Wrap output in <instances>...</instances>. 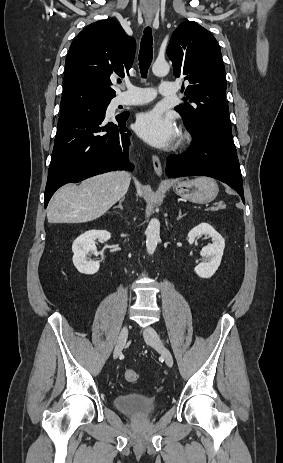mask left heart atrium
Listing matches in <instances>:
<instances>
[{"label": "left heart atrium", "instance_id": "left-heart-atrium-1", "mask_svg": "<svg viewBox=\"0 0 283 463\" xmlns=\"http://www.w3.org/2000/svg\"><path fill=\"white\" fill-rule=\"evenodd\" d=\"M135 129L143 140L156 147L168 146L177 133L173 120L157 109L141 113Z\"/></svg>", "mask_w": 283, "mask_h": 463}]
</instances>
